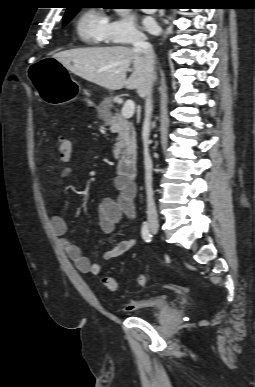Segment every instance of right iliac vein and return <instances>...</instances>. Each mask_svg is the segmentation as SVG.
Segmentation results:
<instances>
[{"instance_id":"63e3f726","label":"right iliac vein","mask_w":255,"mask_h":387,"mask_svg":"<svg viewBox=\"0 0 255 387\" xmlns=\"http://www.w3.org/2000/svg\"><path fill=\"white\" fill-rule=\"evenodd\" d=\"M150 226H151V228H152L153 230H155V231L158 230V224H157V223H152Z\"/></svg>"}]
</instances>
